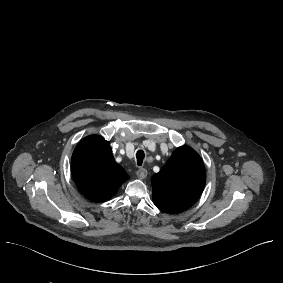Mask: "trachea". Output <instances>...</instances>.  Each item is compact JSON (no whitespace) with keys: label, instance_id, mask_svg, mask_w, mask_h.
<instances>
[{"label":"trachea","instance_id":"trachea-1","mask_svg":"<svg viewBox=\"0 0 283 283\" xmlns=\"http://www.w3.org/2000/svg\"><path fill=\"white\" fill-rule=\"evenodd\" d=\"M144 157H145V154H144L143 150L137 151L136 159H137L138 165H142V163L144 161Z\"/></svg>","mask_w":283,"mask_h":283}]
</instances>
